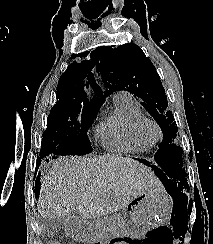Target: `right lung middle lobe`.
Wrapping results in <instances>:
<instances>
[{
  "mask_svg": "<svg viewBox=\"0 0 213 244\" xmlns=\"http://www.w3.org/2000/svg\"><path fill=\"white\" fill-rule=\"evenodd\" d=\"M98 109L86 106L54 107L43 133L40 156L85 155L92 151L87 130Z\"/></svg>",
  "mask_w": 213,
  "mask_h": 244,
  "instance_id": "1",
  "label": "right lung middle lobe"
}]
</instances>
